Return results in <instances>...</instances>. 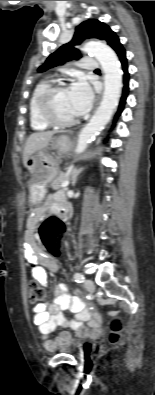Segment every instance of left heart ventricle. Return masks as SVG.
Segmentation results:
<instances>
[{
  "label": "left heart ventricle",
  "mask_w": 155,
  "mask_h": 395,
  "mask_svg": "<svg viewBox=\"0 0 155 395\" xmlns=\"http://www.w3.org/2000/svg\"><path fill=\"white\" fill-rule=\"evenodd\" d=\"M52 112L55 117L63 121L71 120L76 117L69 99L68 89L54 96L52 101Z\"/></svg>",
  "instance_id": "1"
}]
</instances>
